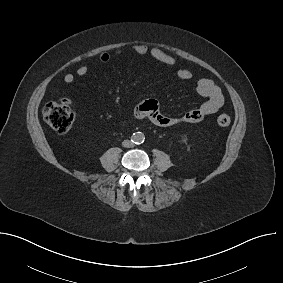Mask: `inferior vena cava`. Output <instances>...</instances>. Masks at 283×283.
Wrapping results in <instances>:
<instances>
[{
  "label": "inferior vena cava",
  "mask_w": 283,
  "mask_h": 283,
  "mask_svg": "<svg viewBox=\"0 0 283 283\" xmlns=\"http://www.w3.org/2000/svg\"><path fill=\"white\" fill-rule=\"evenodd\" d=\"M123 146L129 148V147L133 146V143L131 141H129V140H124L123 141Z\"/></svg>",
  "instance_id": "602c4592"
}]
</instances>
